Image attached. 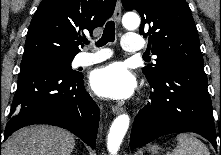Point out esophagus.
I'll use <instances>...</instances> for the list:
<instances>
[{
    "mask_svg": "<svg viewBox=\"0 0 221 155\" xmlns=\"http://www.w3.org/2000/svg\"><path fill=\"white\" fill-rule=\"evenodd\" d=\"M121 7H122L121 1L117 0L115 11H114V19L118 24H120V21H121V15H122ZM112 112L114 114H120L123 112V107L114 105L112 106Z\"/></svg>",
    "mask_w": 221,
    "mask_h": 155,
    "instance_id": "34e87169",
    "label": "esophagus"
}]
</instances>
